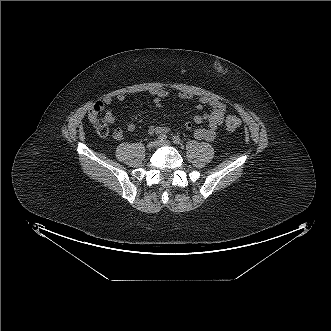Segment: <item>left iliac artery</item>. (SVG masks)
<instances>
[{
  "label": "left iliac artery",
  "instance_id": "obj_1",
  "mask_svg": "<svg viewBox=\"0 0 331 331\" xmlns=\"http://www.w3.org/2000/svg\"><path fill=\"white\" fill-rule=\"evenodd\" d=\"M172 140L175 144H180L181 143V140H180L179 136H176V135L173 136Z\"/></svg>",
  "mask_w": 331,
  "mask_h": 331
}]
</instances>
